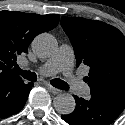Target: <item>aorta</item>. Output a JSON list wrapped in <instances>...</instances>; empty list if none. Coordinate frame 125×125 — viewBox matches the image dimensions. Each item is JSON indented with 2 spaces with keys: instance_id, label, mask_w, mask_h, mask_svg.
<instances>
[{
  "instance_id": "1",
  "label": "aorta",
  "mask_w": 125,
  "mask_h": 125,
  "mask_svg": "<svg viewBox=\"0 0 125 125\" xmlns=\"http://www.w3.org/2000/svg\"><path fill=\"white\" fill-rule=\"evenodd\" d=\"M34 52L42 58L51 56L56 49V42L50 34H40L32 42ZM55 110L63 115L70 114L74 111L76 103L70 94H59L53 101Z\"/></svg>"
}]
</instances>
